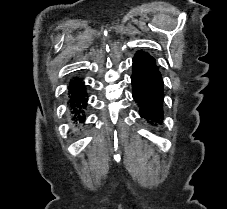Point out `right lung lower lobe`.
Segmentation results:
<instances>
[{"instance_id": "98d812e1", "label": "right lung lower lobe", "mask_w": 227, "mask_h": 209, "mask_svg": "<svg viewBox=\"0 0 227 209\" xmlns=\"http://www.w3.org/2000/svg\"><path fill=\"white\" fill-rule=\"evenodd\" d=\"M70 106L74 113V119L77 117L80 122H84L85 115L80 116L82 108L86 107V93L84 83L80 79H75L69 87Z\"/></svg>"}]
</instances>
